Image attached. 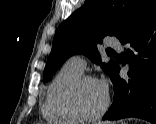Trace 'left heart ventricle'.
<instances>
[{"label": "left heart ventricle", "mask_w": 156, "mask_h": 124, "mask_svg": "<svg viewBox=\"0 0 156 124\" xmlns=\"http://www.w3.org/2000/svg\"><path fill=\"white\" fill-rule=\"evenodd\" d=\"M106 93L98 82L86 81L80 85L75 93V105L85 115L98 112L105 102Z\"/></svg>", "instance_id": "left-heart-ventricle-1"}]
</instances>
